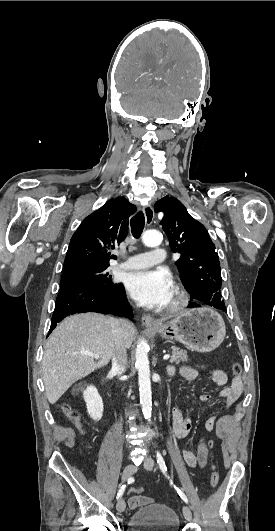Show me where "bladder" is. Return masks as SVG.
<instances>
[{"instance_id":"1","label":"bladder","mask_w":275,"mask_h":531,"mask_svg":"<svg viewBox=\"0 0 275 531\" xmlns=\"http://www.w3.org/2000/svg\"><path fill=\"white\" fill-rule=\"evenodd\" d=\"M130 519V531H178L180 525L174 510L162 503L136 510Z\"/></svg>"}]
</instances>
